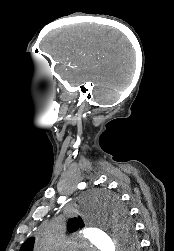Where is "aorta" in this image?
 I'll return each mask as SVG.
<instances>
[{
  "label": "aorta",
  "mask_w": 174,
  "mask_h": 251,
  "mask_svg": "<svg viewBox=\"0 0 174 251\" xmlns=\"http://www.w3.org/2000/svg\"><path fill=\"white\" fill-rule=\"evenodd\" d=\"M88 225L82 231V236L88 239L97 249L101 251H133L134 246L131 242L132 236L128 241V233L117 228L116 221L101 215L98 208L91 206L86 214ZM111 230L113 238L111 239L106 230ZM63 242L62 233L55 225L45 227L39 238V248L41 251L57 250Z\"/></svg>",
  "instance_id": "obj_1"
}]
</instances>
